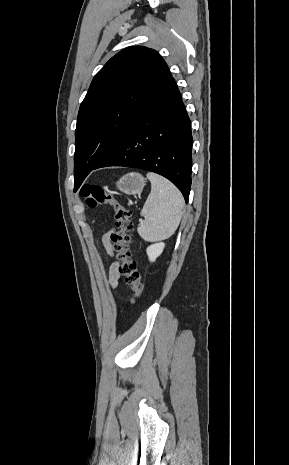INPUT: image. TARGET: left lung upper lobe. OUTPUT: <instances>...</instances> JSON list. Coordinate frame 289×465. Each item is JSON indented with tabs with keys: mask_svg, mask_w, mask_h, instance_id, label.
Returning a JSON list of instances; mask_svg holds the SVG:
<instances>
[{
	"mask_svg": "<svg viewBox=\"0 0 289 465\" xmlns=\"http://www.w3.org/2000/svg\"><path fill=\"white\" fill-rule=\"evenodd\" d=\"M172 75L153 49L128 47L95 75L80 105L75 130L74 190Z\"/></svg>",
	"mask_w": 289,
	"mask_h": 465,
	"instance_id": "5c2ea615",
	"label": "left lung upper lobe"
}]
</instances>
